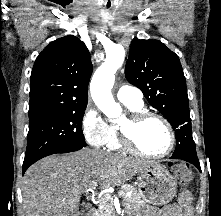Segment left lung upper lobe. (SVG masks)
Here are the masks:
<instances>
[{
  "instance_id": "obj_1",
  "label": "left lung upper lobe",
  "mask_w": 221,
  "mask_h": 216,
  "mask_svg": "<svg viewBox=\"0 0 221 216\" xmlns=\"http://www.w3.org/2000/svg\"><path fill=\"white\" fill-rule=\"evenodd\" d=\"M128 82L138 87L148 102L170 122L176 144L190 146L192 137L186 79L178 56L158 40L131 43L125 67Z\"/></svg>"
}]
</instances>
